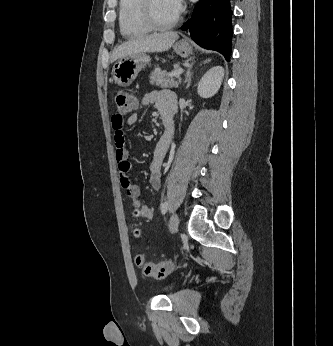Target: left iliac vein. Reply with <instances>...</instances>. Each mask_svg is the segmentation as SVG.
Listing matches in <instances>:
<instances>
[{"instance_id": "1", "label": "left iliac vein", "mask_w": 333, "mask_h": 346, "mask_svg": "<svg viewBox=\"0 0 333 346\" xmlns=\"http://www.w3.org/2000/svg\"><path fill=\"white\" fill-rule=\"evenodd\" d=\"M178 215L176 213H174L171 218H170V221H169V231L171 233H176L177 230H178Z\"/></svg>"}]
</instances>
